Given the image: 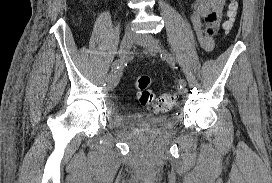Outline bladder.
<instances>
[{
	"label": "bladder",
	"instance_id": "31cf9c89",
	"mask_svg": "<svg viewBox=\"0 0 272 183\" xmlns=\"http://www.w3.org/2000/svg\"><path fill=\"white\" fill-rule=\"evenodd\" d=\"M130 117L134 121L145 123L154 131L162 129L167 124V118L162 116L135 115Z\"/></svg>",
	"mask_w": 272,
	"mask_h": 183
}]
</instances>
